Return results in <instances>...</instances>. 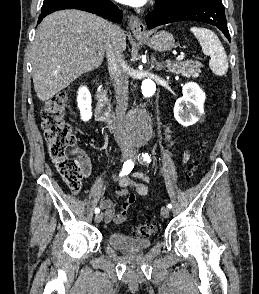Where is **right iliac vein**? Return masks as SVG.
<instances>
[{"label":"right iliac vein","instance_id":"63e3f726","mask_svg":"<svg viewBox=\"0 0 259 294\" xmlns=\"http://www.w3.org/2000/svg\"><path fill=\"white\" fill-rule=\"evenodd\" d=\"M121 153H122V157H123V159H125V158H127V157H129V156L131 155V150L128 149V148H123V149L121 150ZM102 219H103V213H102V212H101V213H98V214L95 216V222H96V223L101 222Z\"/></svg>","mask_w":259,"mask_h":294}]
</instances>
